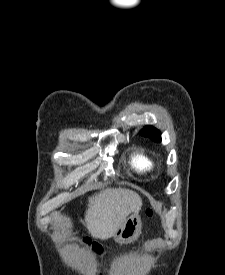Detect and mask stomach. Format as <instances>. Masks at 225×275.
I'll return each mask as SVG.
<instances>
[{"mask_svg": "<svg viewBox=\"0 0 225 275\" xmlns=\"http://www.w3.org/2000/svg\"><path fill=\"white\" fill-rule=\"evenodd\" d=\"M142 229V222L138 212H134L129 216L125 222L118 228L114 233L113 237L116 242L119 243H130L136 240Z\"/></svg>", "mask_w": 225, "mask_h": 275, "instance_id": "obj_1", "label": "stomach"}]
</instances>
